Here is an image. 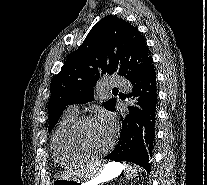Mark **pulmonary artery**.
I'll use <instances>...</instances> for the list:
<instances>
[{
  "label": "pulmonary artery",
  "instance_id": "e3ab8cb5",
  "mask_svg": "<svg viewBox=\"0 0 207 185\" xmlns=\"http://www.w3.org/2000/svg\"><path fill=\"white\" fill-rule=\"evenodd\" d=\"M108 86H123L124 82L119 81V77H109V81L107 82ZM70 112H76L77 107L76 106H71L69 109Z\"/></svg>",
  "mask_w": 207,
  "mask_h": 185
}]
</instances>
